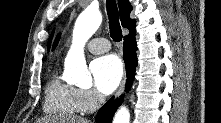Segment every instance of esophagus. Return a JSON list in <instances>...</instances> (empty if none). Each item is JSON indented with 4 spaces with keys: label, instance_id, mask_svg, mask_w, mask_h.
I'll use <instances>...</instances> for the list:
<instances>
[{
    "label": "esophagus",
    "instance_id": "1",
    "mask_svg": "<svg viewBox=\"0 0 221 123\" xmlns=\"http://www.w3.org/2000/svg\"><path fill=\"white\" fill-rule=\"evenodd\" d=\"M125 81H126V77H124L122 83L120 84V86L117 90V93H116V97H119L123 93L124 87H125Z\"/></svg>",
    "mask_w": 221,
    "mask_h": 123
}]
</instances>
